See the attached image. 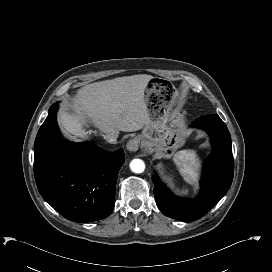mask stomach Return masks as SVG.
Masks as SVG:
<instances>
[{
	"label": "stomach",
	"mask_w": 272,
	"mask_h": 272,
	"mask_svg": "<svg viewBox=\"0 0 272 272\" xmlns=\"http://www.w3.org/2000/svg\"><path fill=\"white\" fill-rule=\"evenodd\" d=\"M176 89L167 80L152 77L144 91L150 122L140 136L158 157L167 158L185 143L183 131L173 123Z\"/></svg>",
	"instance_id": "stomach-1"
}]
</instances>
